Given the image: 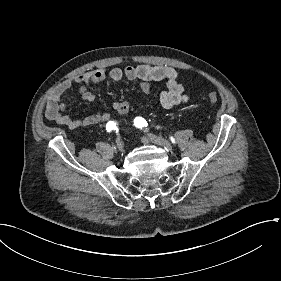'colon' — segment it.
<instances>
[{"label":"colon","instance_id":"5ec220e1","mask_svg":"<svg viewBox=\"0 0 281 281\" xmlns=\"http://www.w3.org/2000/svg\"><path fill=\"white\" fill-rule=\"evenodd\" d=\"M220 100V97L217 93H210L208 94L207 96V101L210 103V104H216L218 103ZM118 119L121 121V122H126L128 119H129V114L126 112V111H121L119 114H118Z\"/></svg>","mask_w":281,"mask_h":281}]
</instances>
